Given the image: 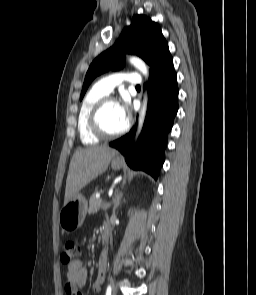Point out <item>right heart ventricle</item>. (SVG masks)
Returning a JSON list of instances; mask_svg holds the SVG:
<instances>
[{
	"instance_id": "e07e8e85",
	"label": "right heart ventricle",
	"mask_w": 256,
	"mask_h": 295,
	"mask_svg": "<svg viewBox=\"0 0 256 295\" xmlns=\"http://www.w3.org/2000/svg\"><path fill=\"white\" fill-rule=\"evenodd\" d=\"M105 96H107V94L96 85L92 87L83 98L78 115V132L82 143L85 145H94L100 140V138L90 131L88 118L96 102Z\"/></svg>"
}]
</instances>
